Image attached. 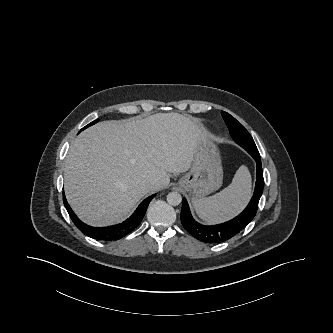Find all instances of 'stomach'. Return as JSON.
<instances>
[{
    "mask_svg": "<svg viewBox=\"0 0 333 333\" xmlns=\"http://www.w3.org/2000/svg\"><path fill=\"white\" fill-rule=\"evenodd\" d=\"M222 180L223 169L218 148L206 138L195 150L190 171L178 184L192 199H201L218 190Z\"/></svg>",
    "mask_w": 333,
    "mask_h": 333,
    "instance_id": "obj_1",
    "label": "stomach"
}]
</instances>
